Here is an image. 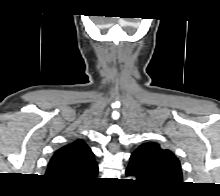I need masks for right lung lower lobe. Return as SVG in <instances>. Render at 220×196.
I'll list each match as a JSON object with an SVG mask.
<instances>
[{
	"instance_id": "1",
	"label": "right lung lower lobe",
	"mask_w": 220,
	"mask_h": 196,
	"mask_svg": "<svg viewBox=\"0 0 220 196\" xmlns=\"http://www.w3.org/2000/svg\"><path fill=\"white\" fill-rule=\"evenodd\" d=\"M59 183L65 185V186H80V185H82V184H68V183H63V182H59Z\"/></svg>"
}]
</instances>
